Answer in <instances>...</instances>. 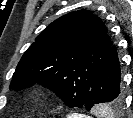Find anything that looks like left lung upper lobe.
I'll return each instance as SVG.
<instances>
[{"mask_svg": "<svg viewBox=\"0 0 133 118\" xmlns=\"http://www.w3.org/2000/svg\"><path fill=\"white\" fill-rule=\"evenodd\" d=\"M113 41L101 19L88 10L71 12L52 22L25 51L10 89L39 83L54 91L69 107H83ZM123 101L103 107L118 112Z\"/></svg>", "mask_w": 133, "mask_h": 118, "instance_id": "left-lung-upper-lobe-1", "label": "left lung upper lobe"}]
</instances>
